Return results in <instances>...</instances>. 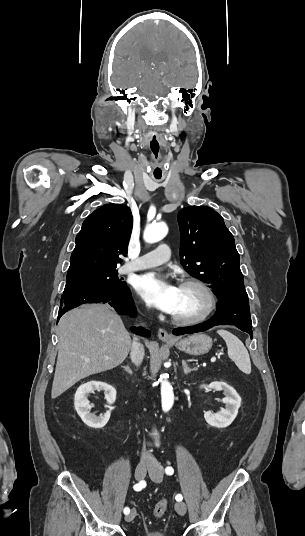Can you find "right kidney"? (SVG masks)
Here are the masks:
<instances>
[{"label": "right kidney", "mask_w": 305, "mask_h": 536, "mask_svg": "<svg viewBox=\"0 0 305 536\" xmlns=\"http://www.w3.org/2000/svg\"><path fill=\"white\" fill-rule=\"evenodd\" d=\"M93 390H104V392H106L105 400H107V404H114L116 400V390L113 386H109V384H105V382H87V384L79 386L75 394V410L86 426H90V428H103V426H106L111 416V410H107L104 416H94V414H90L89 410L93 408V404H89L87 396L89 392H93ZM105 408H111V406H105Z\"/></svg>", "instance_id": "1"}]
</instances>
